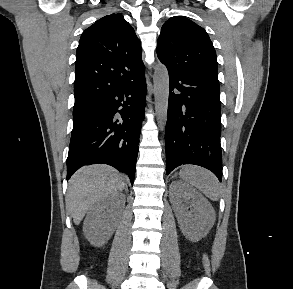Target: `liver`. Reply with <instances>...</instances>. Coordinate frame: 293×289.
Listing matches in <instances>:
<instances>
[{
    "label": "liver",
    "instance_id": "liver-1",
    "mask_svg": "<svg viewBox=\"0 0 293 289\" xmlns=\"http://www.w3.org/2000/svg\"><path fill=\"white\" fill-rule=\"evenodd\" d=\"M124 187V177L110 166L97 164L79 169L69 181L66 197L74 223L79 225L95 203Z\"/></svg>",
    "mask_w": 293,
    "mask_h": 289
}]
</instances>
